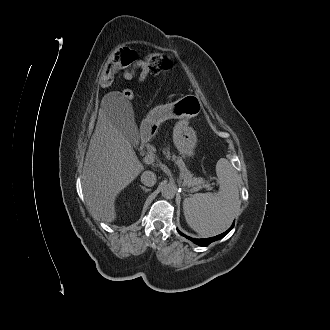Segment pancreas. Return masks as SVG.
Here are the masks:
<instances>
[{
    "instance_id": "cf45deb5",
    "label": "pancreas",
    "mask_w": 330,
    "mask_h": 330,
    "mask_svg": "<svg viewBox=\"0 0 330 330\" xmlns=\"http://www.w3.org/2000/svg\"><path fill=\"white\" fill-rule=\"evenodd\" d=\"M163 154L167 158L172 157V159L175 161V163L180 169V179L183 181V184L185 186L192 187L193 189H199L200 187L207 185L205 184V180L203 178H196L193 176V174H191L181 157H177L174 154L171 156L169 147L163 149Z\"/></svg>"
}]
</instances>
